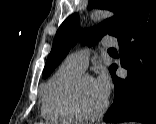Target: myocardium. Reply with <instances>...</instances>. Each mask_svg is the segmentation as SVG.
I'll return each mask as SVG.
<instances>
[{
    "instance_id": "obj_1",
    "label": "myocardium",
    "mask_w": 156,
    "mask_h": 124,
    "mask_svg": "<svg viewBox=\"0 0 156 124\" xmlns=\"http://www.w3.org/2000/svg\"><path fill=\"white\" fill-rule=\"evenodd\" d=\"M85 79H93L91 76L87 74L79 75L69 87L66 96V102L68 104L69 109L71 112L76 116V118L80 121H93L99 119L107 110L109 101L108 99L105 100L103 106L95 113H86L80 105L79 102V90L80 85L83 80Z\"/></svg>"
}]
</instances>
